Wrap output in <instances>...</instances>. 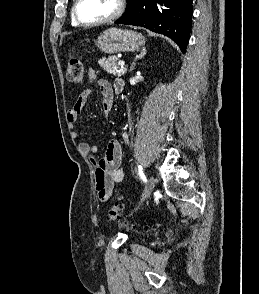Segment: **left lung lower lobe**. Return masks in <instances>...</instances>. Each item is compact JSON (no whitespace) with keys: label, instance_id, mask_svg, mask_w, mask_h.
I'll return each mask as SVG.
<instances>
[{"label":"left lung lower lobe","instance_id":"left-lung-lower-lobe-1","mask_svg":"<svg viewBox=\"0 0 259 294\" xmlns=\"http://www.w3.org/2000/svg\"><path fill=\"white\" fill-rule=\"evenodd\" d=\"M193 0H133L132 9L115 23L145 27L164 34L186 50Z\"/></svg>","mask_w":259,"mask_h":294}]
</instances>
